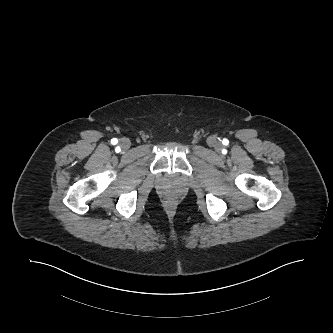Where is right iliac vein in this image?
<instances>
[{"label":"right iliac vein","mask_w":333,"mask_h":333,"mask_svg":"<svg viewBox=\"0 0 333 333\" xmlns=\"http://www.w3.org/2000/svg\"><path fill=\"white\" fill-rule=\"evenodd\" d=\"M119 143L123 150L129 149L131 146V142L128 138H122Z\"/></svg>","instance_id":"63e3f726"}]
</instances>
